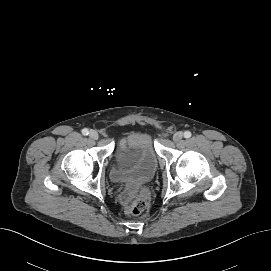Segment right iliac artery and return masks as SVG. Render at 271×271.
Returning <instances> with one entry per match:
<instances>
[{
	"mask_svg": "<svg viewBox=\"0 0 271 271\" xmlns=\"http://www.w3.org/2000/svg\"><path fill=\"white\" fill-rule=\"evenodd\" d=\"M82 134H83V135H88V134H89L88 129L84 128V129L82 130Z\"/></svg>",
	"mask_w": 271,
	"mask_h": 271,
	"instance_id": "obj_1",
	"label": "right iliac artery"
}]
</instances>
